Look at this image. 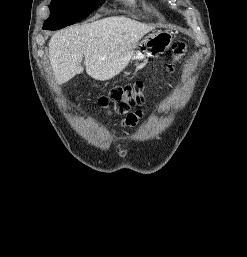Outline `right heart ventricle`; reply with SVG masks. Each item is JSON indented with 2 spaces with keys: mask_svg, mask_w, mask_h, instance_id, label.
<instances>
[{
  "mask_svg": "<svg viewBox=\"0 0 247 257\" xmlns=\"http://www.w3.org/2000/svg\"><path fill=\"white\" fill-rule=\"evenodd\" d=\"M120 1H123V2H125L127 4H130V5H133V4L136 3V0H120Z\"/></svg>",
  "mask_w": 247,
  "mask_h": 257,
  "instance_id": "right-heart-ventricle-1",
  "label": "right heart ventricle"
}]
</instances>
